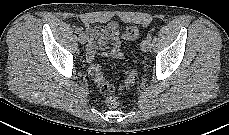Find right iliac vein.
<instances>
[{
    "mask_svg": "<svg viewBox=\"0 0 229 135\" xmlns=\"http://www.w3.org/2000/svg\"><path fill=\"white\" fill-rule=\"evenodd\" d=\"M87 39H88V36H87L86 33L80 34V36H79V41H80L82 44H84V43L87 41Z\"/></svg>",
    "mask_w": 229,
    "mask_h": 135,
    "instance_id": "63e3f726",
    "label": "right iliac vein"
}]
</instances>
